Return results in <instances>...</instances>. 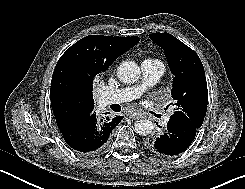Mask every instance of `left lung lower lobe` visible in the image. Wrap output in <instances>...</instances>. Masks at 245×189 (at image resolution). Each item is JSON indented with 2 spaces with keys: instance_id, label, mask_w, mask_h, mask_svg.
Returning <instances> with one entry per match:
<instances>
[{
  "instance_id": "0a47b994",
  "label": "left lung lower lobe",
  "mask_w": 245,
  "mask_h": 189,
  "mask_svg": "<svg viewBox=\"0 0 245 189\" xmlns=\"http://www.w3.org/2000/svg\"><path fill=\"white\" fill-rule=\"evenodd\" d=\"M197 128L171 121L167 128L149 139V147L156 153L173 156L186 150L195 138Z\"/></svg>"
}]
</instances>
